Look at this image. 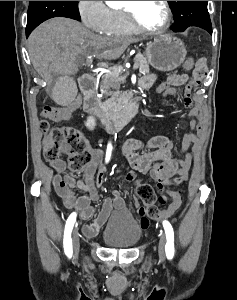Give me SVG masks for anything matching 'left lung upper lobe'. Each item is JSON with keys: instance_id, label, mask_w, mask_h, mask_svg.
<instances>
[{"instance_id": "5c2ea615", "label": "left lung upper lobe", "mask_w": 237, "mask_h": 300, "mask_svg": "<svg viewBox=\"0 0 237 300\" xmlns=\"http://www.w3.org/2000/svg\"><path fill=\"white\" fill-rule=\"evenodd\" d=\"M207 2L208 1H169L175 20L171 29L175 32H182L187 27L196 26L212 34Z\"/></svg>"}]
</instances>
